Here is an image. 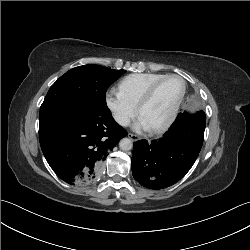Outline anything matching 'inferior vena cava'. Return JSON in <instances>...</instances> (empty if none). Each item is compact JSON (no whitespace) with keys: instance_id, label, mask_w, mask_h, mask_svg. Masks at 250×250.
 <instances>
[{"instance_id":"602c4592","label":"inferior vena cava","mask_w":250,"mask_h":250,"mask_svg":"<svg viewBox=\"0 0 250 250\" xmlns=\"http://www.w3.org/2000/svg\"><path fill=\"white\" fill-rule=\"evenodd\" d=\"M114 119L121 126H128L129 123H130V118L128 116H125V115H122V114H115Z\"/></svg>"}]
</instances>
